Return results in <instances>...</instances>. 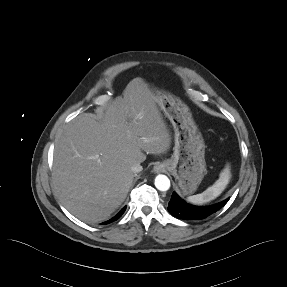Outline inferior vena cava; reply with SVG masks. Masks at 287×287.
I'll return each instance as SVG.
<instances>
[{"mask_svg":"<svg viewBox=\"0 0 287 287\" xmlns=\"http://www.w3.org/2000/svg\"><path fill=\"white\" fill-rule=\"evenodd\" d=\"M131 170L133 173H139L143 170L142 166L140 165V163H135L131 166Z\"/></svg>","mask_w":287,"mask_h":287,"instance_id":"1","label":"inferior vena cava"}]
</instances>
